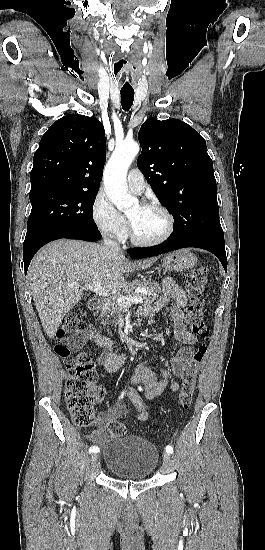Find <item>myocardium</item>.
Wrapping results in <instances>:
<instances>
[{
	"label": "myocardium",
	"instance_id": "1",
	"mask_svg": "<svg viewBox=\"0 0 265 550\" xmlns=\"http://www.w3.org/2000/svg\"><path fill=\"white\" fill-rule=\"evenodd\" d=\"M140 206L144 209H156V210L160 211L161 213H163V215L167 219V228H166V231L164 232V234L161 237H159L157 239H154V240H143V239H140V238L137 237V235L135 234L132 222L127 217L128 234H129L131 242L134 245L141 246V247H152V246L160 245V244L164 243L165 241H167L171 237V235L173 234L174 227H175V220H174V217H173L172 213L165 206H163L162 204H160L158 202H155V201L141 202Z\"/></svg>",
	"mask_w": 265,
	"mask_h": 550
}]
</instances>
